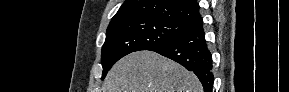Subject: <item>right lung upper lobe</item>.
I'll return each instance as SVG.
<instances>
[{
  "label": "right lung upper lobe",
  "instance_id": "1",
  "mask_svg": "<svg viewBox=\"0 0 289 92\" xmlns=\"http://www.w3.org/2000/svg\"><path fill=\"white\" fill-rule=\"evenodd\" d=\"M199 17L195 0H126L109 25L131 18H156L188 26Z\"/></svg>",
  "mask_w": 289,
  "mask_h": 92
}]
</instances>
